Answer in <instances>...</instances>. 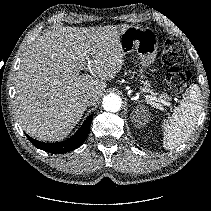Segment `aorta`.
<instances>
[{
    "label": "aorta",
    "instance_id": "obj_1",
    "mask_svg": "<svg viewBox=\"0 0 211 211\" xmlns=\"http://www.w3.org/2000/svg\"><path fill=\"white\" fill-rule=\"evenodd\" d=\"M122 105V100L117 94H108L103 98L102 106L106 111L117 112Z\"/></svg>",
    "mask_w": 211,
    "mask_h": 211
}]
</instances>
